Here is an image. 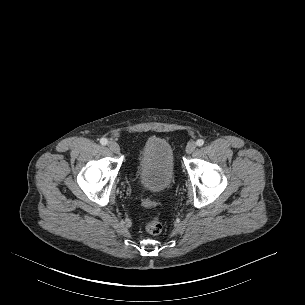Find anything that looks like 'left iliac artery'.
<instances>
[{"label": "left iliac artery", "instance_id": "left-iliac-artery-1", "mask_svg": "<svg viewBox=\"0 0 305 305\" xmlns=\"http://www.w3.org/2000/svg\"><path fill=\"white\" fill-rule=\"evenodd\" d=\"M196 145L197 146H203L204 145V140L203 139H198L197 141H196Z\"/></svg>", "mask_w": 305, "mask_h": 305}]
</instances>
